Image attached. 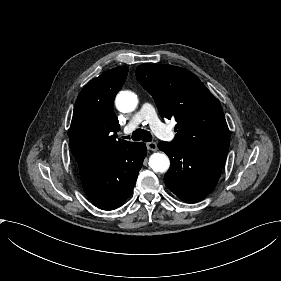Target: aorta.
<instances>
[{
    "label": "aorta",
    "mask_w": 281,
    "mask_h": 281,
    "mask_svg": "<svg viewBox=\"0 0 281 281\" xmlns=\"http://www.w3.org/2000/svg\"><path fill=\"white\" fill-rule=\"evenodd\" d=\"M116 108L122 113H129L135 110L138 105L137 95L131 91H121L115 98ZM149 166L155 172H166L170 167V160L164 153H153L149 158Z\"/></svg>",
    "instance_id": "1"
}]
</instances>
